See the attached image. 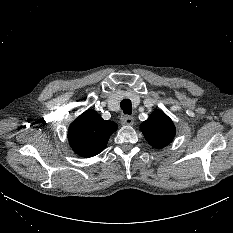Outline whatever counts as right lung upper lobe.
<instances>
[{"label": "right lung upper lobe", "mask_w": 233, "mask_h": 233, "mask_svg": "<svg viewBox=\"0 0 233 233\" xmlns=\"http://www.w3.org/2000/svg\"><path fill=\"white\" fill-rule=\"evenodd\" d=\"M117 127L116 123L103 120L96 111L87 110L71 123L68 140L77 154L92 157L102 152Z\"/></svg>", "instance_id": "obj_1"}]
</instances>
